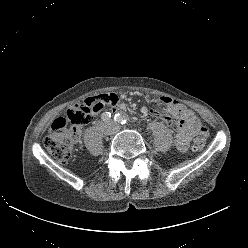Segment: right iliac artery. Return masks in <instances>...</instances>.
Wrapping results in <instances>:
<instances>
[{
    "instance_id": "1",
    "label": "right iliac artery",
    "mask_w": 248,
    "mask_h": 248,
    "mask_svg": "<svg viewBox=\"0 0 248 248\" xmlns=\"http://www.w3.org/2000/svg\"><path fill=\"white\" fill-rule=\"evenodd\" d=\"M110 118H111V113H110V112H104V113H102V115H101V119H102L103 121H109Z\"/></svg>"
}]
</instances>
